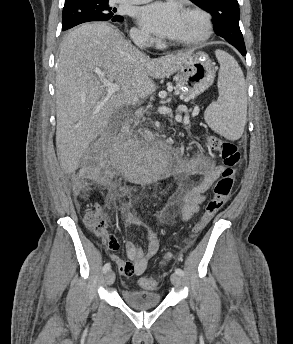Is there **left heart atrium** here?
I'll return each instance as SVG.
<instances>
[{
    "label": "left heart atrium",
    "instance_id": "1",
    "mask_svg": "<svg viewBox=\"0 0 293 344\" xmlns=\"http://www.w3.org/2000/svg\"><path fill=\"white\" fill-rule=\"evenodd\" d=\"M182 13L172 2H156L137 11L138 23L148 32L170 38L177 31Z\"/></svg>",
    "mask_w": 293,
    "mask_h": 344
}]
</instances>
